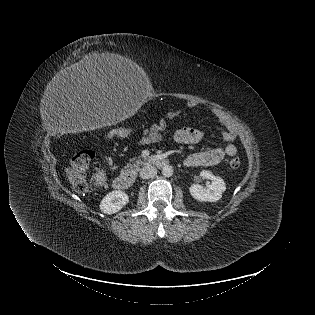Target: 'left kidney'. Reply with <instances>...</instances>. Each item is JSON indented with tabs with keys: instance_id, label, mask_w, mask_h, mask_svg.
I'll return each instance as SVG.
<instances>
[{
	"instance_id": "left-kidney-1",
	"label": "left kidney",
	"mask_w": 315,
	"mask_h": 315,
	"mask_svg": "<svg viewBox=\"0 0 315 315\" xmlns=\"http://www.w3.org/2000/svg\"><path fill=\"white\" fill-rule=\"evenodd\" d=\"M200 176L210 179L212 183L207 188L199 184L191 185L189 191L192 197L201 202H216L220 200L222 193L226 190L223 179L205 170L200 173Z\"/></svg>"
}]
</instances>
